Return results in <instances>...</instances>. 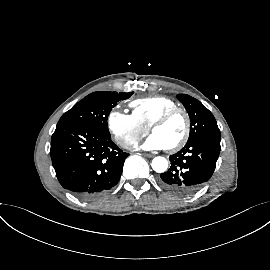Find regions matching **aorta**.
<instances>
[{"label":"aorta","instance_id":"aorta-1","mask_svg":"<svg viewBox=\"0 0 270 270\" xmlns=\"http://www.w3.org/2000/svg\"><path fill=\"white\" fill-rule=\"evenodd\" d=\"M151 166L155 172L163 173L168 168V161L166 158L158 156L153 158Z\"/></svg>","mask_w":270,"mask_h":270}]
</instances>
